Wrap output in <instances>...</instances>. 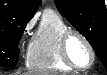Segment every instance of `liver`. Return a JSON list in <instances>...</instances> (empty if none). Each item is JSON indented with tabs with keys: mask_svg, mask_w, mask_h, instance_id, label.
Masks as SVG:
<instances>
[{
	"mask_svg": "<svg viewBox=\"0 0 107 75\" xmlns=\"http://www.w3.org/2000/svg\"><path fill=\"white\" fill-rule=\"evenodd\" d=\"M12 75H33V74H31V73H29V72H26V73H19V72H16V73H14V74H12Z\"/></svg>",
	"mask_w": 107,
	"mask_h": 75,
	"instance_id": "1",
	"label": "liver"
}]
</instances>
